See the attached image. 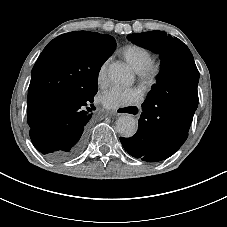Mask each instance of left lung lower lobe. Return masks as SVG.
<instances>
[{
	"label": "left lung lower lobe",
	"mask_w": 227,
	"mask_h": 227,
	"mask_svg": "<svg viewBox=\"0 0 227 227\" xmlns=\"http://www.w3.org/2000/svg\"><path fill=\"white\" fill-rule=\"evenodd\" d=\"M198 81L196 65L184 63L180 70L157 86L158 90L151 97L146 98L136 134L120 138L131 156L158 162L182 146L198 106Z\"/></svg>",
	"instance_id": "0a47b994"
}]
</instances>
